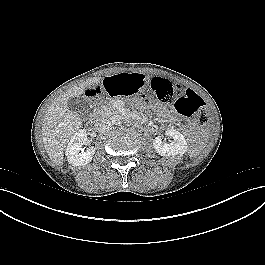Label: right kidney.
Segmentation results:
<instances>
[{
	"mask_svg": "<svg viewBox=\"0 0 265 265\" xmlns=\"http://www.w3.org/2000/svg\"><path fill=\"white\" fill-rule=\"evenodd\" d=\"M87 141V133L85 129L77 131L68 142L65 155L70 164L74 166H84L92 161L95 154V148L93 146L82 150V146Z\"/></svg>",
	"mask_w": 265,
	"mask_h": 265,
	"instance_id": "right-kidney-1",
	"label": "right kidney"
}]
</instances>
